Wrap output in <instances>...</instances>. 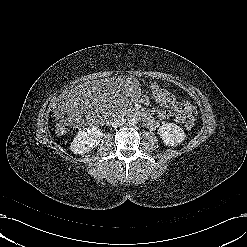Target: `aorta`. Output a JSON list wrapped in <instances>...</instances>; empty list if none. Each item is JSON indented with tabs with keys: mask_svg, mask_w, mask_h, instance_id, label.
<instances>
[{
	"mask_svg": "<svg viewBox=\"0 0 247 247\" xmlns=\"http://www.w3.org/2000/svg\"><path fill=\"white\" fill-rule=\"evenodd\" d=\"M139 119L135 115H130L127 119V122L129 125H136L138 123Z\"/></svg>",
	"mask_w": 247,
	"mask_h": 247,
	"instance_id": "762f6f07",
	"label": "aorta"
}]
</instances>
